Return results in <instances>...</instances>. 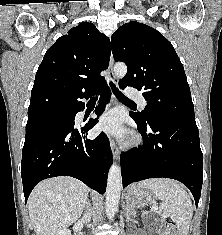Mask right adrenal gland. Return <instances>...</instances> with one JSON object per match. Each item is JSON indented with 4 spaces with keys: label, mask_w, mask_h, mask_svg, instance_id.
Segmentation results:
<instances>
[{
    "label": "right adrenal gland",
    "mask_w": 222,
    "mask_h": 235,
    "mask_svg": "<svg viewBox=\"0 0 222 235\" xmlns=\"http://www.w3.org/2000/svg\"><path fill=\"white\" fill-rule=\"evenodd\" d=\"M91 207V204L88 202L87 203V208H90Z\"/></svg>",
    "instance_id": "2a0ac1e0"
}]
</instances>
